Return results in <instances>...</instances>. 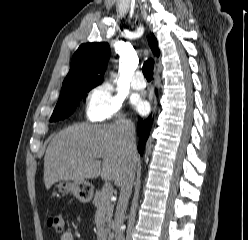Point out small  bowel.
I'll use <instances>...</instances> for the list:
<instances>
[{
    "label": "small bowel",
    "mask_w": 248,
    "mask_h": 240,
    "mask_svg": "<svg viewBox=\"0 0 248 240\" xmlns=\"http://www.w3.org/2000/svg\"><path fill=\"white\" fill-rule=\"evenodd\" d=\"M60 240H75L74 233L71 230H65L61 233Z\"/></svg>",
    "instance_id": "small-bowel-1"
}]
</instances>
